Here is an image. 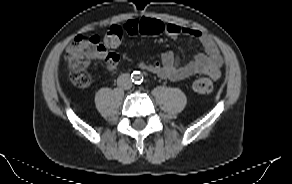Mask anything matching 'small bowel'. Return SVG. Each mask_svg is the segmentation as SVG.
Wrapping results in <instances>:
<instances>
[{
  "mask_svg": "<svg viewBox=\"0 0 292 184\" xmlns=\"http://www.w3.org/2000/svg\"><path fill=\"white\" fill-rule=\"evenodd\" d=\"M146 19L150 18H136L126 21L122 26L123 32L130 36L142 34L141 25ZM157 21L162 25V33L171 38H177L180 35L193 37L200 42L203 52L195 54L187 63H182L172 52L167 51L161 55L159 62H141L142 69L171 81L183 80L197 74L207 75L213 79H218L221 76L223 58L215 41L208 34L195 28ZM94 59L104 61L108 71L114 73L119 56L114 52L104 51L96 55Z\"/></svg>",
  "mask_w": 292,
  "mask_h": 184,
  "instance_id": "obj_1",
  "label": "small bowel"
}]
</instances>
